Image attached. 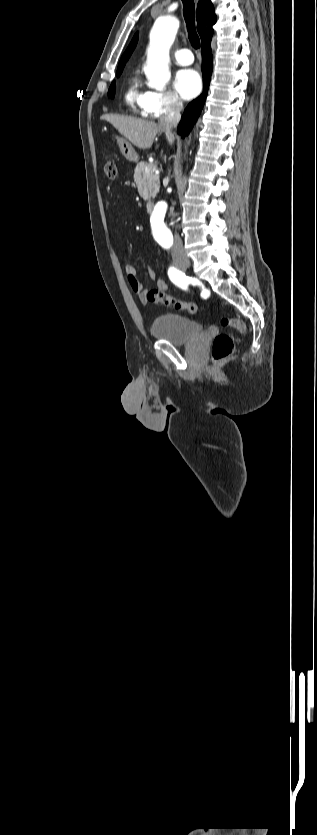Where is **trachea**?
I'll return each mask as SVG.
<instances>
[{"label":"trachea","mask_w":317,"mask_h":835,"mask_svg":"<svg viewBox=\"0 0 317 835\" xmlns=\"http://www.w3.org/2000/svg\"><path fill=\"white\" fill-rule=\"evenodd\" d=\"M183 14L188 29V38L195 49L200 46V39L195 31V4L194 0H182Z\"/></svg>","instance_id":"obj_1"}]
</instances>
